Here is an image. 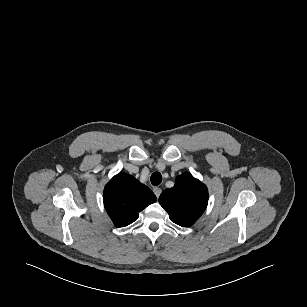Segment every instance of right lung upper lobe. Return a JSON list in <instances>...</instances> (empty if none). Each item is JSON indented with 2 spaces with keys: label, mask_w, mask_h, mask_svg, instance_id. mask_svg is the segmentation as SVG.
Wrapping results in <instances>:
<instances>
[{
  "label": "right lung upper lobe",
  "mask_w": 307,
  "mask_h": 307,
  "mask_svg": "<svg viewBox=\"0 0 307 307\" xmlns=\"http://www.w3.org/2000/svg\"><path fill=\"white\" fill-rule=\"evenodd\" d=\"M104 205L113 223L125 227L134 222L139 212L156 202L154 193L133 176L119 173L104 189Z\"/></svg>",
  "instance_id": "right-lung-upper-lobe-1"
}]
</instances>
